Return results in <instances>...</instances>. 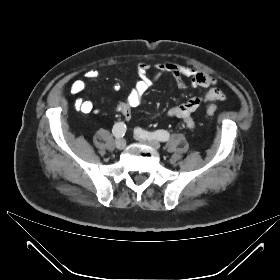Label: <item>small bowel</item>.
Wrapping results in <instances>:
<instances>
[{
    "mask_svg": "<svg viewBox=\"0 0 280 280\" xmlns=\"http://www.w3.org/2000/svg\"><path fill=\"white\" fill-rule=\"evenodd\" d=\"M151 70H153V73H150ZM137 74L138 78L134 87L129 92L127 99L119 102L116 106L117 111L121 113L125 121L131 119L132 110L141 104L142 98L151 84L163 75L173 76L178 88L181 90L187 89L189 86L208 89L202 96L191 97L186 102L168 111L170 117L180 119L181 122L190 129L195 127L193 113L196 112L202 104L225 99V93L216 86L218 83L216 78L199 69L184 64L173 61L151 62L144 60L138 63ZM84 76L87 80H95L99 77V72L96 69H88ZM186 80H188L189 83H187ZM86 86L85 80L76 79L72 82L70 91L72 94L78 95L86 89ZM119 88L118 84L112 87L114 91L119 90ZM74 107L84 114L92 113L94 110L93 103L82 97L74 101Z\"/></svg>",
    "mask_w": 280,
    "mask_h": 280,
    "instance_id": "1",
    "label": "small bowel"
}]
</instances>
